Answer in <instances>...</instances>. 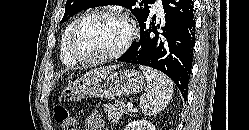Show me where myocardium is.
Instances as JSON below:
<instances>
[{"label":"myocardium","instance_id":"obj_1","mask_svg":"<svg viewBox=\"0 0 249 130\" xmlns=\"http://www.w3.org/2000/svg\"><path fill=\"white\" fill-rule=\"evenodd\" d=\"M94 16H111V17H118L123 19L128 27H129V34L123 44L114 52L104 54V55H83L80 54L75 47V42L77 38V34L79 32L80 27L82 24L89 18ZM138 34L137 27L133 19L125 12L116 9H95L89 12H86L81 17H79L69 36L67 49L69 55L78 62H85V63H99V62H106L117 59L121 57L131 46L133 41L136 39Z\"/></svg>","mask_w":249,"mask_h":130}]
</instances>
